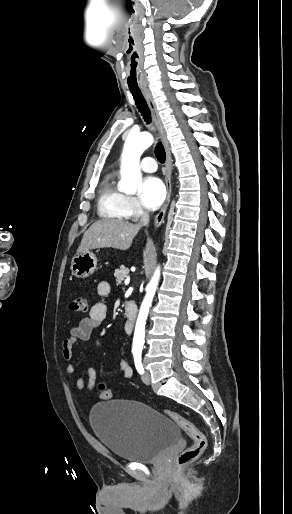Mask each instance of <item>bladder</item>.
Returning <instances> with one entry per match:
<instances>
[{"mask_svg": "<svg viewBox=\"0 0 292 514\" xmlns=\"http://www.w3.org/2000/svg\"><path fill=\"white\" fill-rule=\"evenodd\" d=\"M89 420L106 449L127 462H154L180 437L178 425L168 416L132 400L98 403Z\"/></svg>", "mask_w": 292, "mask_h": 514, "instance_id": "1", "label": "bladder"}]
</instances>
